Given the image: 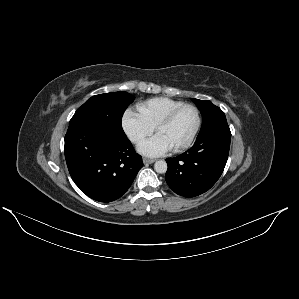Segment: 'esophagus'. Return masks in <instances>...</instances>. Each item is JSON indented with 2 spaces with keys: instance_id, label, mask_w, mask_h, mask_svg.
<instances>
[{
  "instance_id": "esophagus-1",
  "label": "esophagus",
  "mask_w": 299,
  "mask_h": 299,
  "mask_svg": "<svg viewBox=\"0 0 299 299\" xmlns=\"http://www.w3.org/2000/svg\"><path fill=\"white\" fill-rule=\"evenodd\" d=\"M156 160L155 159H151V158H143V162L145 164H152L154 163Z\"/></svg>"
}]
</instances>
